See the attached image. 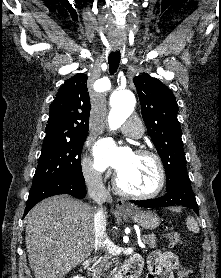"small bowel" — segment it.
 Returning <instances> with one entry per match:
<instances>
[{"instance_id": "obj_1", "label": "small bowel", "mask_w": 221, "mask_h": 278, "mask_svg": "<svg viewBox=\"0 0 221 278\" xmlns=\"http://www.w3.org/2000/svg\"><path fill=\"white\" fill-rule=\"evenodd\" d=\"M139 267H142V261L135 259ZM148 276L147 278H174V272L183 270L179 258L172 252L154 251L150 254L147 260ZM180 271V273H181Z\"/></svg>"}]
</instances>
